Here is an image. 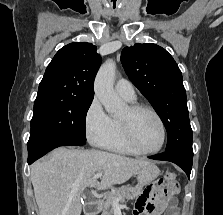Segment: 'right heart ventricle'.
I'll list each match as a JSON object with an SVG mask.
<instances>
[{
	"mask_svg": "<svg viewBox=\"0 0 223 215\" xmlns=\"http://www.w3.org/2000/svg\"><path fill=\"white\" fill-rule=\"evenodd\" d=\"M113 120V128L109 135L101 143L102 147L112 152L132 155L133 152L129 149L123 139L120 118H116Z\"/></svg>",
	"mask_w": 223,
	"mask_h": 215,
	"instance_id": "obj_1",
	"label": "right heart ventricle"
}]
</instances>
